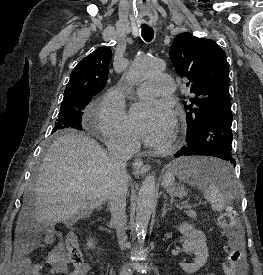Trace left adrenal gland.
<instances>
[{"instance_id":"a2214340","label":"left adrenal gland","mask_w":263,"mask_h":275,"mask_svg":"<svg viewBox=\"0 0 263 275\" xmlns=\"http://www.w3.org/2000/svg\"><path fill=\"white\" fill-rule=\"evenodd\" d=\"M167 206H169L168 203H165L163 206L162 215H161L162 217H164L166 215L167 211L170 210V208L167 209Z\"/></svg>"}]
</instances>
